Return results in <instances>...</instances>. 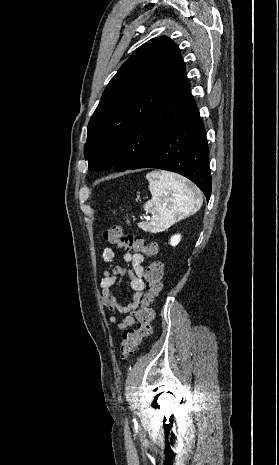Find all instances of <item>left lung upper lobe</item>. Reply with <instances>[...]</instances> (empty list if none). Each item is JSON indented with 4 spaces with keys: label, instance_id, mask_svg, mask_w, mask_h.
Wrapping results in <instances>:
<instances>
[{
    "label": "left lung upper lobe",
    "instance_id": "left-lung-upper-lobe-1",
    "mask_svg": "<svg viewBox=\"0 0 279 465\" xmlns=\"http://www.w3.org/2000/svg\"><path fill=\"white\" fill-rule=\"evenodd\" d=\"M190 99L178 46L165 36L140 46L111 79L89 121L84 147L89 170L130 169L168 132Z\"/></svg>",
    "mask_w": 279,
    "mask_h": 465
}]
</instances>
